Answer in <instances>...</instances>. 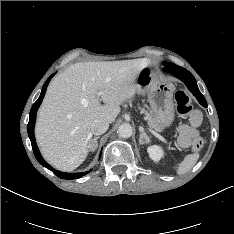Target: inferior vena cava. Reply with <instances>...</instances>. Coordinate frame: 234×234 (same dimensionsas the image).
I'll return each mask as SVG.
<instances>
[{
  "label": "inferior vena cava",
  "mask_w": 234,
  "mask_h": 234,
  "mask_svg": "<svg viewBox=\"0 0 234 234\" xmlns=\"http://www.w3.org/2000/svg\"><path fill=\"white\" fill-rule=\"evenodd\" d=\"M109 123L106 120H95L91 125V132L94 135H101L108 130Z\"/></svg>",
  "instance_id": "602c4592"
}]
</instances>
